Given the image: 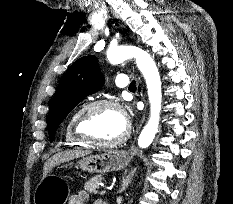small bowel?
Wrapping results in <instances>:
<instances>
[{
    "mask_svg": "<svg viewBox=\"0 0 233 204\" xmlns=\"http://www.w3.org/2000/svg\"><path fill=\"white\" fill-rule=\"evenodd\" d=\"M88 198V194L85 191H80L72 195L68 204H85ZM95 204H105L102 201H96Z\"/></svg>",
    "mask_w": 233,
    "mask_h": 204,
    "instance_id": "obj_1",
    "label": "small bowel"
}]
</instances>
